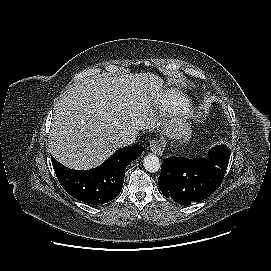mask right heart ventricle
Listing matches in <instances>:
<instances>
[{"mask_svg": "<svg viewBox=\"0 0 271 271\" xmlns=\"http://www.w3.org/2000/svg\"><path fill=\"white\" fill-rule=\"evenodd\" d=\"M157 104L164 113L170 115L182 114L190 107L189 99L175 91H168L160 96Z\"/></svg>", "mask_w": 271, "mask_h": 271, "instance_id": "1", "label": "right heart ventricle"}]
</instances>
